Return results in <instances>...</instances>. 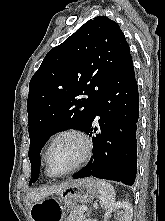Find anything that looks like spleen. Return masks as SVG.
Masks as SVG:
<instances>
[{
    "mask_svg": "<svg viewBox=\"0 0 165 221\" xmlns=\"http://www.w3.org/2000/svg\"><path fill=\"white\" fill-rule=\"evenodd\" d=\"M98 192L100 194V205L103 209H110L115 202V190L113 186L104 181L96 180Z\"/></svg>",
    "mask_w": 165,
    "mask_h": 221,
    "instance_id": "obj_1",
    "label": "spleen"
}]
</instances>
